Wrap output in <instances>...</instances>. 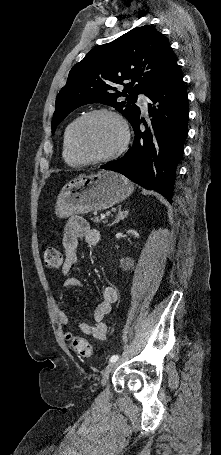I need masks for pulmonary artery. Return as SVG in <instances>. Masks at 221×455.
<instances>
[{"label":"pulmonary artery","instance_id":"obj_1","mask_svg":"<svg viewBox=\"0 0 221 455\" xmlns=\"http://www.w3.org/2000/svg\"><path fill=\"white\" fill-rule=\"evenodd\" d=\"M139 103H140L141 108L143 109V111H146V110H147V102H146V99H141V101H140Z\"/></svg>","mask_w":221,"mask_h":455}]
</instances>
